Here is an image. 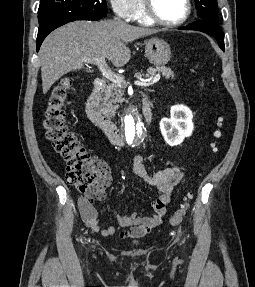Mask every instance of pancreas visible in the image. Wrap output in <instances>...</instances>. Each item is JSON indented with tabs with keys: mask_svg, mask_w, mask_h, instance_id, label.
I'll return each instance as SVG.
<instances>
[{
	"mask_svg": "<svg viewBox=\"0 0 255 287\" xmlns=\"http://www.w3.org/2000/svg\"><path fill=\"white\" fill-rule=\"evenodd\" d=\"M156 72H161L162 76H165L166 80L172 78L174 80L175 76L171 72L170 68H165V66H156V68H148L146 74H141L138 72L139 76H145V78H152ZM125 84L117 86L115 82L108 84L106 90H104L103 98H101L103 116L109 118V116H114L116 110L119 108V104L123 102L122 96L125 92Z\"/></svg>",
	"mask_w": 255,
	"mask_h": 287,
	"instance_id": "obj_1",
	"label": "pancreas"
}]
</instances>
